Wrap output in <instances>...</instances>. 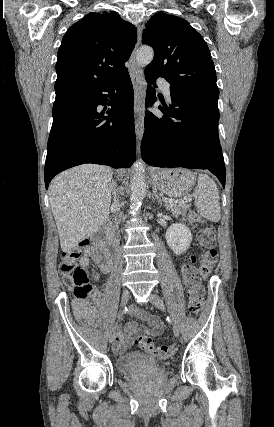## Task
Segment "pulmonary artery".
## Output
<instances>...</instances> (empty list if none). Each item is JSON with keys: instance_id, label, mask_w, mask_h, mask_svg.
<instances>
[{"instance_id": "e3ab8cb5", "label": "pulmonary artery", "mask_w": 274, "mask_h": 427, "mask_svg": "<svg viewBox=\"0 0 274 427\" xmlns=\"http://www.w3.org/2000/svg\"><path fill=\"white\" fill-rule=\"evenodd\" d=\"M160 87H161V90H162L165 98L167 99V101L170 102L171 101V91H170L169 84L164 82V83H161Z\"/></svg>"}]
</instances>
